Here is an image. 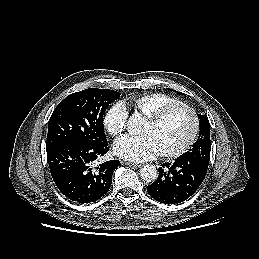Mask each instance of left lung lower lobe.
I'll return each instance as SVG.
<instances>
[{
  "label": "left lung lower lobe",
  "mask_w": 259,
  "mask_h": 259,
  "mask_svg": "<svg viewBox=\"0 0 259 259\" xmlns=\"http://www.w3.org/2000/svg\"><path fill=\"white\" fill-rule=\"evenodd\" d=\"M207 169L208 164L181 155L174 163L162 164L157 180L147 186V192L164 204L181 203L199 188Z\"/></svg>",
  "instance_id": "0a47b994"
}]
</instances>
